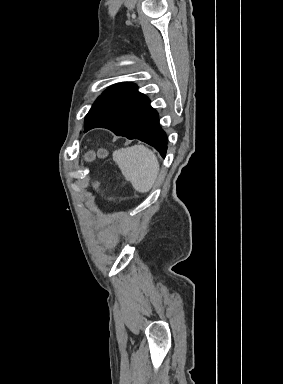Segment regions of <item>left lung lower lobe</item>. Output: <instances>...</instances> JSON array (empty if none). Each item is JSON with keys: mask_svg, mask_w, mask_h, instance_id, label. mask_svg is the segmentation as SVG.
Instances as JSON below:
<instances>
[{"mask_svg": "<svg viewBox=\"0 0 283 384\" xmlns=\"http://www.w3.org/2000/svg\"><path fill=\"white\" fill-rule=\"evenodd\" d=\"M96 127L110 129L128 139H139L157 149L162 157L166 155L167 136L159 125L158 114L137 88L85 126L84 132Z\"/></svg>", "mask_w": 283, "mask_h": 384, "instance_id": "1", "label": "left lung lower lobe"}]
</instances>
